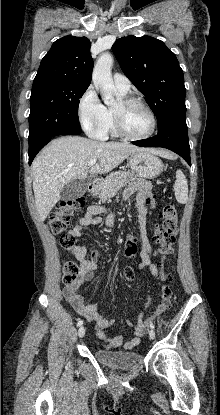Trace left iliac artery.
<instances>
[{"label":"left iliac artery","mask_w":220,"mask_h":415,"mask_svg":"<svg viewBox=\"0 0 220 415\" xmlns=\"http://www.w3.org/2000/svg\"><path fill=\"white\" fill-rule=\"evenodd\" d=\"M150 327L152 328V329H154V324L151 322L150 323Z\"/></svg>","instance_id":"obj_1"}]
</instances>
